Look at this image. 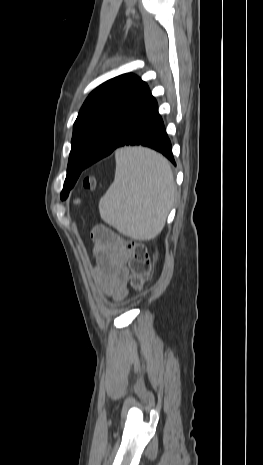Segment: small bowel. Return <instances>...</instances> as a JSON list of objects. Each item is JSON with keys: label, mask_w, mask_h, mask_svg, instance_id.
<instances>
[{"label": "small bowel", "mask_w": 263, "mask_h": 465, "mask_svg": "<svg viewBox=\"0 0 263 465\" xmlns=\"http://www.w3.org/2000/svg\"><path fill=\"white\" fill-rule=\"evenodd\" d=\"M94 253L98 261L97 275L105 292L116 299L126 295L128 255L124 253L113 235L106 229L96 228L92 233Z\"/></svg>", "instance_id": "obj_1"}]
</instances>
